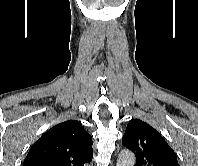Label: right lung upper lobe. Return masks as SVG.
I'll return each mask as SVG.
<instances>
[{"label": "right lung upper lobe", "mask_w": 198, "mask_h": 166, "mask_svg": "<svg viewBox=\"0 0 198 166\" xmlns=\"http://www.w3.org/2000/svg\"><path fill=\"white\" fill-rule=\"evenodd\" d=\"M92 157V137L81 122L68 120L34 143L23 166H84Z\"/></svg>", "instance_id": "1"}]
</instances>
